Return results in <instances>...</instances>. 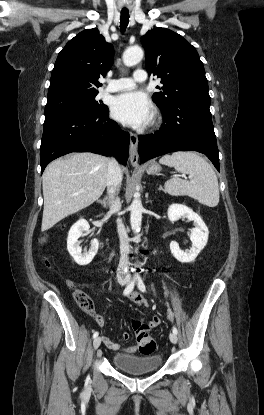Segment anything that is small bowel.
<instances>
[{"label": "small bowel", "mask_w": 264, "mask_h": 415, "mask_svg": "<svg viewBox=\"0 0 264 415\" xmlns=\"http://www.w3.org/2000/svg\"><path fill=\"white\" fill-rule=\"evenodd\" d=\"M129 297L131 298V300L136 303L138 306L140 307H148L149 306V302L148 300L143 297L142 295L138 294V293H134V294H130ZM96 322L99 326H104L107 322V319L105 316H97L96 318ZM132 325L133 328L135 329V331L137 330V325L135 320H132ZM160 323V319L158 316L154 315L150 318V320L146 323H139V327L141 330L143 331H148L156 326H158ZM122 338L124 340H129L130 338V334L128 332H124L122 334ZM102 341L105 344V346L107 348H109L110 350L113 351H118L121 354H125V355H134L137 352H140L143 355H146L147 353L143 350L142 344L137 342L135 344H131L128 346H123L118 342L113 341L112 339H110L108 336H102Z\"/></svg>", "instance_id": "1"}]
</instances>
